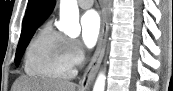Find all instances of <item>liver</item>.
<instances>
[{
    "label": "liver",
    "instance_id": "liver-1",
    "mask_svg": "<svg viewBox=\"0 0 173 91\" xmlns=\"http://www.w3.org/2000/svg\"><path fill=\"white\" fill-rule=\"evenodd\" d=\"M12 91H77L76 85L64 80H42L38 78L19 77Z\"/></svg>",
    "mask_w": 173,
    "mask_h": 91
}]
</instances>
